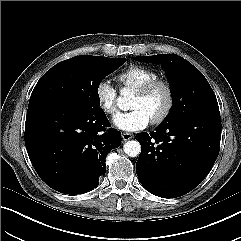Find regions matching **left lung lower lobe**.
<instances>
[{
  "label": "left lung lower lobe",
  "mask_w": 241,
  "mask_h": 241,
  "mask_svg": "<svg viewBox=\"0 0 241 241\" xmlns=\"http://www.w3.org/2000/svg\"><path fill=\"white\" fill-rule=\"evenodd\" d=\"M220 115L194 114L155 132L138 133L141 153L136 163L143 187L163 198H175L193 190L210 172L219 154Z\"/></svg>",
  "instance_id": "obj_1"
}]
</instances>
